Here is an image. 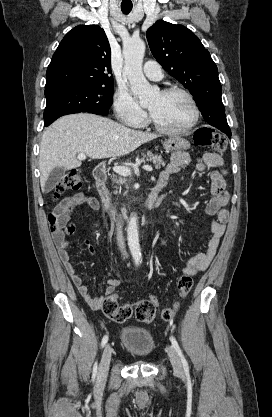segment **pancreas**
Listing matches in <instances>:
<instances>
[{
	"mask_svg": "<svg viewBox=\"0 0 272 417\" xmlns=\"http://www.w3.org/2000/svg\"><path fill=\"white\" fill-rule=\"evenodd\" d=\"M142 159H144V161L153 163L155 165L156 169H160L162 166H165V162L163 161L162 157L154 155L151 152H147L146 155L143 154ZM114 182L119 184V185H123V184H126L127 179L124 178V177H119V178L115 177Z\"/></svg>",
	"mask_w": 272,
	"mask_h": 417,
	"instance_id": "1",
	"label": "pancreas"
}]
</instances>
